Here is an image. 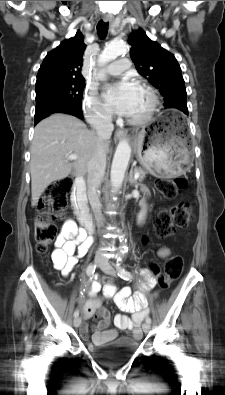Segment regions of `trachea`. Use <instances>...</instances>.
<instances>
[{"mask_svg":"<svg viewBox=\"0 0 225 395\" xmlns=\"http://www.w3.org/2000/svg\"><path fill=\"white\" fill-rule=\"evenodd\" d=\"M108 22H103V20L99 21L97 24V32L101 38H104L108 31Z\"/></svg>","mask_w":225,"mask_h":395,"instance_id":"trachea-1","label":"trachea"}]
</instances>
